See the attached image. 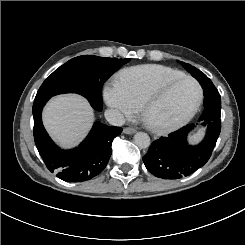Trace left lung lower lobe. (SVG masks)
Wrapping results in <instances>:
<instances>
[{
    "label": "left lung lower lobe",
    "mask_w": 245,
    "mask_h": 245,
    "mask_svg": "<svg viewBox=\"0 0 245 245\" xmlns=\"http://www.w3.org/2000/svg\"><path fill=\"white\" fill-rule=\"evenodd\" d=\"M204 92V111L200 117L207 126L203 141L195 146L187 142L188 133L194 128L189 124L154 141L143 157L147 170L162 179H181L202 167L210 158L221 131V98L207 76L198 79Z\"/></svg>",
    "instance_id": "obj_1"
}]
</instances>
